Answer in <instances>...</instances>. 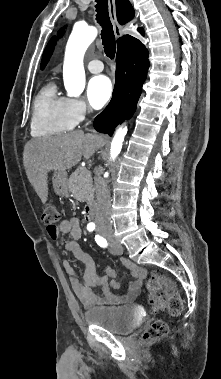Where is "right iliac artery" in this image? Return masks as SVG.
<instances>
[{
	"instance_id": "82829eb1",
	"label": "right iliac artery",
	"mask_w": 221,
	"mask_h": 379,
	"mask_svg": "<svg viewBox=\"0 0 221 379\" xmlns=\"http://www.w3.org/2000/svg\"><path fill=\"white\" fill-rule=\"evenodd\" d=\"M94 229H95V224H94V223H90V224L87 225V230H88V231L91 232V231H93Z\"/></svg>"
}]
</instances>
